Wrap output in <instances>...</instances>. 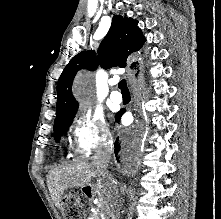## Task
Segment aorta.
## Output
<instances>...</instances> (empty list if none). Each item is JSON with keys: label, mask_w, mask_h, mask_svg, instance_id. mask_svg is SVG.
Returning <instances> with one entry per match:
<instances>
[{"label": "aorta", "mask_w": 221, "mask_h": 219, "mask_svg": "<svg viewBox=\"0 0 221 219\" xmlns=\"http://www.w3.org/2000/svg\"><path fill=\"white\" fill-rule=\"evenodd\" d=\"M76 91L79 97H85L90 91V79L87 76H80Z\"/></svg>", "instance_id": "762f6f07"}]
</instances>
